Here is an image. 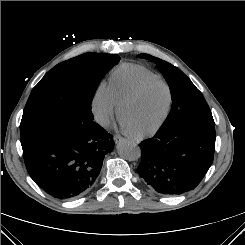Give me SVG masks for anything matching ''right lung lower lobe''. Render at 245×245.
<instances>
[{"mask_svg":"<svg viewBox=\"0 0 245 245\" xmlns=\"http://www.w3.org/2000/svg\"><path fill=\"white\" fill-rule=\"evenodd\" d=\"M113 147L112 135L94 121L58 128L22 146L30 177L58 199L89 191Z\"/></svg>","mask_w":245,"mask_h":245,"instance_id":"98d812e1","label":"right lung lower lobe"}]
</instances>
